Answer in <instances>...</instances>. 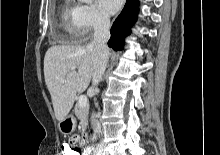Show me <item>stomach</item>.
Listing matches in <instances>:
<instances>
[{"instance_id": "stomach-1", "label": "stomach", "mask_w": 220, "mask_h": 155, "mask_svg": "<svg viewBox=\"0 0 220 155\" xmlns=\"http://www.w3.org/2000/svg\"><path fill=\"white\" fill-rule=\"evenodd\" d=\"M58 127L61 133L71 134L76 128V120L72 115H67L64 120L59 122Z\"/></svg>"}]
</instances>
